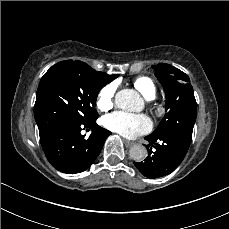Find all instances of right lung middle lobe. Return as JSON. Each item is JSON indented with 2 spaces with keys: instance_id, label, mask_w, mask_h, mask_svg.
Instances as JSON below:
<instances>
[{
  "instance_id": "1",
  "label": "right lung middle lobe",
  "mask_w": 229,
  "mask_h": 229,
  "mask_svg": "<svg viewBox=\"0 0 229 229\" xmlns=\"http://www.w3.org/2000/svg\"><path fill=\"white\" fill-rule=\"evenodd\" d=\"M101 89L74 64L59 62L52 66L40 80L34 105L40 140L68 121L96 122L99 115L94 107Z\"/></svg>"
}]
</instances>
